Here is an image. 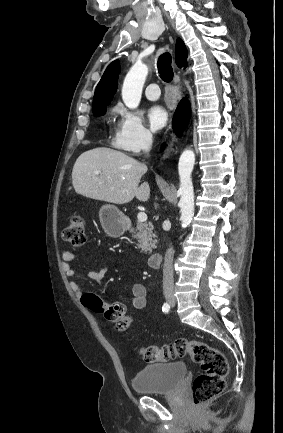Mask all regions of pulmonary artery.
Returning a JSON list of instances; mask_svg holds the SVG:
<instances>
[{
  "label": "pulmonary artery",
  "instance_id": "e3ab8cb5",
  "mask_svg": "<svg viewBox=\"0 0 283 433\" xmlns=\"http://www.w3.org/2000/svg\"><path fill=\"white\" fill-rule=\"evenodd\" d=\"M145 96L147 99L152 101L157 100L160 97V90L157 88L156 83H149L146 85Z\"/></svg>",
  "mask_w": 283,
  "mask_h": 433
}]
</instances>
